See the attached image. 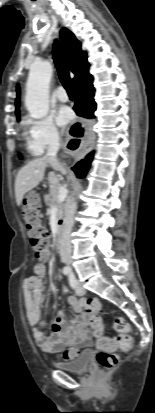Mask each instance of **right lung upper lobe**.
Returning a JSON list of instances; mask_svg holds the SVG:
<instances>
[{"label": "right lung upper lobe", "mask_w": 155, "mask_h": 413, "mask_svg": "<svg viewBox=\"0 0 155 413\" xmlns=\"http://www.w3.org/2000/svg\"><path fill=\"white\" fill-rule=\"evenodd\" d=\"M63 48L65 50L68 68L75 74L72 80L74 84L80 77L88 74L89 63L87 61L86 52L81 50V43L75 36L66 28L60 32ZM17 94L20 91L17 87ZM16 115L19 119V98L16 99Z\"/></svg>", "instance_id": "1"}]
</instances>
